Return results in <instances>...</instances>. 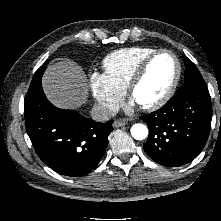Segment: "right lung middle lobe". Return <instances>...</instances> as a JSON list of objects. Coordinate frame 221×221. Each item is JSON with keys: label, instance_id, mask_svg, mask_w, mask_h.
<instances>
[{"label": "right lung middle lobe", "instance_id": "obj_1", "mask_svg": "<svg viewBox=\"0 0 221 221\" xmlns=\"http://www.w3.org/2000/svg\"><path fill=\"white\" fill-rule=\"evenodd\" d=\"M48 63V61L47 62H45V64H47ZM45 64L44 65H42L38 70H37V72L35 73V75H34V77H33V79H32V81H36L37 79H41V77H42V74L44 73V71H45V69H46V66H45Z\"/></svg>", "mask_w": 221, "mask_h": 221}]
</instances>
